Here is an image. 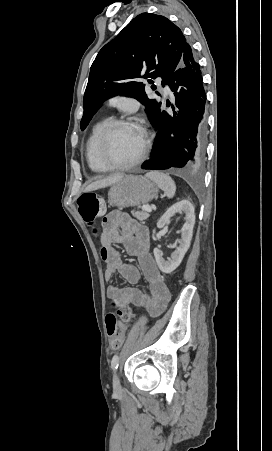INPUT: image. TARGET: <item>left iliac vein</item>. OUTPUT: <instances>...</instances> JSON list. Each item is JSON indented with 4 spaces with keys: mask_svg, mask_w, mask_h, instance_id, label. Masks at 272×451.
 Wrapping results in <instances>:
<instances>
[{
    "mask_svg": "<svg viewBox=\"0 0 272 451\" xmlns=\"http://www.w3.org/2000/svg\"><path fill=\"white\" fill-rule=\"evenodd\" d=\"M121 388L119 378L116 374L113 376V389L116 391Z\"/></svg>",
    "mask_w": 272,
    "mask_h": 451,
    "instance_id": "4c4485c4",
    "label": "left iliac vein"
}]
</instances>
